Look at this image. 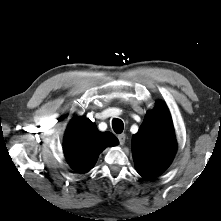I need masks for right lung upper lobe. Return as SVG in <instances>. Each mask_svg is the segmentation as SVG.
Returning a JSON list of instances; mask_svg holds the SVG:
<instances>
[{"instance_id": "right-lung-upper-lobe-1", "label": "right lung upper lobe", "mask_w": 221, "mask_h": 221, "mask_svg": "<svg viewBox=\"0 0 221 221\" xmlns=\"http://www.w3.org/2000/svg\"><path fill=\"white\" fill-rule=\"evenodd\" d=\"M118 139L111 132H100L89 119L74 118L64 137V154L78 173H86L95 164L99 153L108 146H115Z\"/></svg>"}]
</instances>
